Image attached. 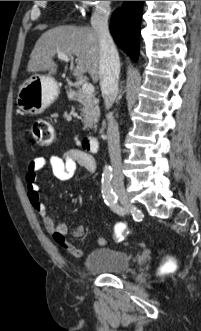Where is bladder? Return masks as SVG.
<instances>
[{"label":"bladder","instance_id":"obj_1","mask_svg":"<svg viewBox=\"0 0 201 331\" xmlns=\"http://www.w3.org/2000/svg\"><path fill=\"white\" fill-rule=\"evenodd\" d=\"M130 254L122 249L97 247L84 259L83 266L90 272L120 275L130 265Z\"/></svg>","mask_w":201,"mask_h":331}]
</instances>
